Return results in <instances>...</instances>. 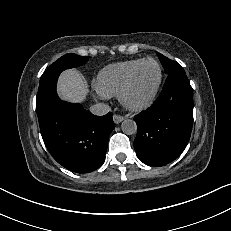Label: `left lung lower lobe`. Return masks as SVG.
I'll list each match as a JSON object with an SVG mask.
<instances>
[{"label":"left lung lower lobe","instance_id":"left-lung-lower-lobe-1","mask_svg":"<svg viewBox=\"0 0 231 231\" xmlns=\"http://www.w3.org/2000/svg\"><path fill=\"white\" fill-rule=\"evenodd\" d=\"M134 120V148L143 163L164 166L183 152L193 123V90L183 68L168 74L157 100Z\"/></svg>","mask_w":231,"mask_h":231}]
</instances>
